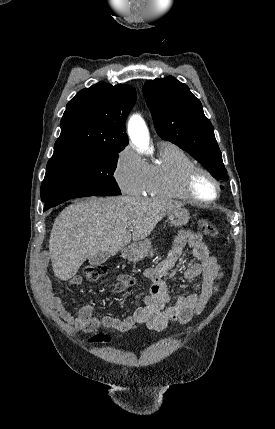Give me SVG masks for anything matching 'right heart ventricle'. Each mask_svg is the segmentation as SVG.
I'll list each match as a JSON object with an SVG mask.
<instances>
[{"label": "right heart ventricle", "instance_id": "obj_1", "mask_svg": "<svg viewBox=\"0 0 275 429\" xmlns=\"http://www.w3.org/2000/svg\"><path fill=\"white\" fill-rule=\"evenodd\" d=\"M196 165L179 146L165 142L159 147L156 161L148 165V183L145 194L161 199L187 200L181 187L185 171Z\"/></svg>", "mask_w": 275, "mask_h": 429}]
</instances>
